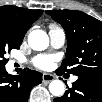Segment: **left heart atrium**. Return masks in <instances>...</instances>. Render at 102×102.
Here are the masks:
<instances>
[{"label":"left heart atrium","mask_w":102,"mask_h":102,"mask_svg":"<svg viewBox=\"0 0 102 102\" xmlns=\"http://www.w3.org/2000/svg\"><path fill=\"white\" fill-rule=\"evenodd\" d=\"M54 62V58L51 56H40L34 59V65L40 69H48Z\"/></svg>","instance_id":"39dd6f15"}]
</instances>
